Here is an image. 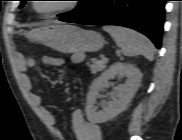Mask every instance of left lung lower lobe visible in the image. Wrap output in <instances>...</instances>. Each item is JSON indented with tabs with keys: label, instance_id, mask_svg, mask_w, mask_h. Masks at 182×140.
<instances>
[{
	"label": "left lung lower lobe",
	"instance_id": "obj_1",
	"mask_svg": "<svg viewBox=\"0 0 182 140\" xmlns=\"http://www.w3.org/2000/svg\"><path fill=\"white\" fill-rule=\"evenodd\" d=\"M166 0H101L95 10L65 22L88 25H118L134 29L161 47Z\"/></svg>",
	"mask_w": 182,
	"mask_h": 140
}]
</instances>
